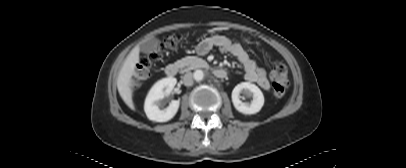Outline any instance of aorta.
Instances as JSON below:
<instances>
[{
  "label": "aorta",
  "mask_w": 406,
  "mask_h": 168,
  "mask_svg": "<svg viewBox=\"0 0 406 168\" xmlns=\"http://www.w3.org/2000/svg\"><path fill=\"white\" fill-rule=\"evenodd\" d=\"M203 78H204V73H203L202 70H196V71L194 72V79H195L196 81H201Z\"/></svg>",
  "instance_id": "aorta-1"
}]
</instances>
